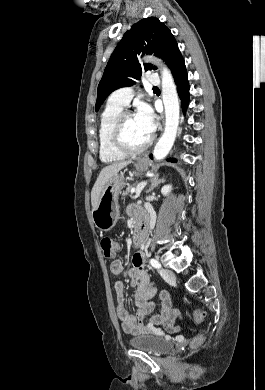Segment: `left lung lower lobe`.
<instances>
[{"label": "left lung lower lobe", "instance_id": "left-lung-lower-lobe-1", "mask_svg": "<svg viewBox=\"0 0 265 390\" xmlns=\"http://www.w3.org/2000/svg\"><path fill=\"white\" fill-rule=\"evenodd\" d=\"M171 72L177 85V91L181 99L183 112H185L189 103V82L187 79V70L185 67L184 58L182 57L181 53L174 60L171 66ZM150 158H152V155ZM168 161L176 162V160L172 158L168 159Z\"/></svg>", "mask_w": 265, "mask_h": 390}]
</instances>
